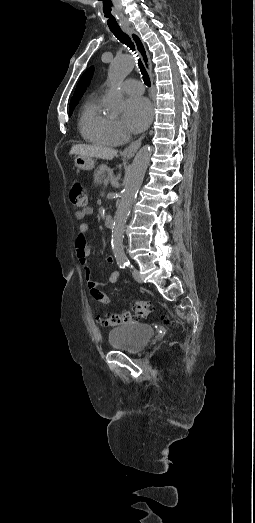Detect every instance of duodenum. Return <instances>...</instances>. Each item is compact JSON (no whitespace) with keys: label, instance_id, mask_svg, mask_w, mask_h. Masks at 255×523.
Segmentation results:
<instances>
[{"label":"duodenum","instance_id":"obj_1","mask_svg":"<svg viewBox=\"0 0 255 523\" xmlns=\"http://www.w3.org/2000/svg\"><path fill=\"white\" fill-rule=\"evenodd\" d=\"M104 222H105V226L107 228H112L113 224H114L113 216L112 215H106L105 219H104Z\"/></svg>","mask_w":255,"mask_h":523}]
</instances>
